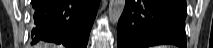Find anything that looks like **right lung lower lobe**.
<instances>
[{"label": "right lung lower lobe", "mask_w": 213, "mask_h": 48, "mask_svg": "<svg viewBox=\"0 0 213 48\" xmlns=\"http://www.w3.org/2000/svg\"><path fill=\"white\" fill-rule=\"evenodd\" d=\"M100 0H32V43L86 48Z\"/></svg>", "instance_id": "98d812e1"}]
</instances>
